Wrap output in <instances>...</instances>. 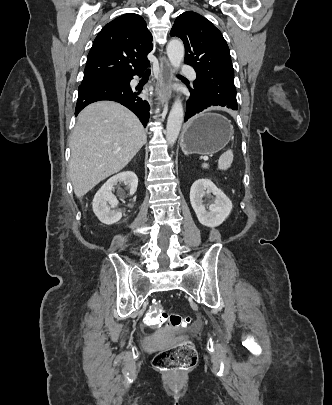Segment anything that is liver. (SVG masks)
<instances>
[{"mask_svg":"<svg viewBox=\"0 0 332 405\" xmlns=\"http://www.w3.org/2000/svg\"><path fill=\"white\" fill-rule=\"evenodd\" d=\"M145 130L124 106L99 101L78 115L70 138L69 176L77 197L122 170L145 144Z\"/></svg>","mask_w":332,"mask_h":405,"instance_id":"6515ba94","label":"liver"}]
</instances>
